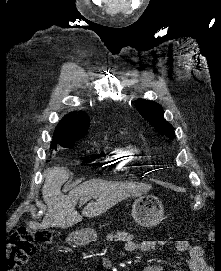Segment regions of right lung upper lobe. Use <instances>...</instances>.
I'll return each mask as SVG.
<instances>
[{
	"instance_id": "obj_1",
	"label": "right lung upper lobe",
	"mask_w": 221,
	"mask_h": 271,
	"mask_svg": "<svg viewBox=\"0 0 221 271\" xmlns=\"http://www.w3.org/2000/svg\"><path fill=\"white\" fill-rule=\"evenodd\" d=\"M89 128V117L83 111L65 116L57 125L53 139H81Z\"/></svg>"
}]
</instances>
